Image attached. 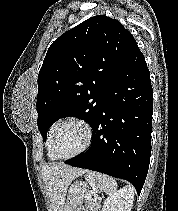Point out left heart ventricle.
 <instances>
[{
	"label": "left heart ventricle",
	"mask_w": 178,
	"mask_h": 211,
	"mask_svg": "<svg viewBox=\"0 0 178 211\" xmlns=\"http://www.w3.org/2000/svg\"><path fill=\"white\" fill-rule=\"evenodd\" d=\"M85 141L84 129L75 123L64 125L56 136L55 147L57 153L68 156L77 152Z\"/></svg>",
	"instance_id": "obj_1"
}]
</instances>
